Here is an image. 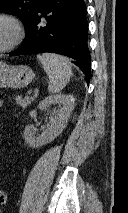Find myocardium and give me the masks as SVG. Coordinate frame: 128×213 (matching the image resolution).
<instances>
[{
    "instance_id": "myocardium-1",
    "label": "myocardium",
    "mask_w": 128,
    "mask_h": 213,
    "mask_svg": "<svg viewBox=\"0 0 128 213\" xmlns=\"http://www.w3.org/2000/svg\"><path fill=\"white\" fill-rule=\"evenodd\" d=\"M0 19L10 23L13 28L14 36L11 42L0 48V53H5L15 49L23 41L25 30L22 22L13 14L7 12H0Z\"/></svg>"
}]
</instances>
